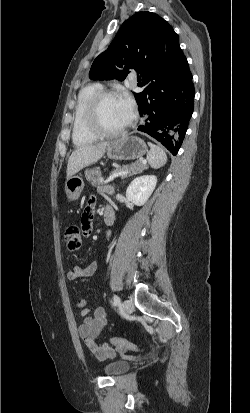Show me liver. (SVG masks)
<instances>
[{
  "label": "liver",
  "mask_w": 250,
  "mask_h": 413,
  "mask_svg": "<svg viewBox=\"0 0 250 413\" xmlns=\"http://www.w3.org/2000/svg\"><path fill=\"white\" fill-rule=\"evenodd\" d=\"M108 142H101L99 144H86L77 147L68 159L67 165V179L74 176L81 169L91 164L96 163L102 158L108 146Z\"/></svg>",
  "instance_id": "6515ba94"
}]
</instances>
